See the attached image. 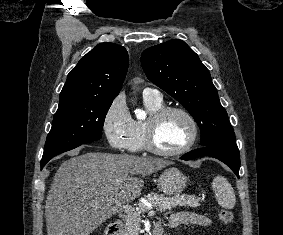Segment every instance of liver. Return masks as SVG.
<instances>
[{
	"instance_id": "liver-1",
	"label": "liver",
	"mask_w": 283,
	"mask_h": 235,
	"mask_svg": "<svg viewBox=\"0 0 283 235\" xmlns=\"http://www.w3.org/2000/svg\"><path fill=\"white\" fill-rule=\"evenodd\" d=\"M70 152L46 199L48 235H90L126 203L141 195L146 176L170 161L128 154Z\"/></svg>"
}]
</instances>
